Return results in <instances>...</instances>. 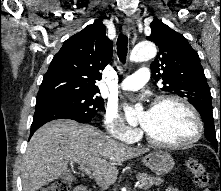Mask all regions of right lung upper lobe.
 <instances>
[{
  "mask_svg": "<svg viewBox=\"0 0 221 191\" xmlns=\"http://www.w3.org/2000/svg\"><path fill=\"white\" fill-rule=\"evenodd\" d=\"M113 43L106 36L101 19L67 39L53 57L40 86L37 101L100 93L96 82L112 58Z\"/></svg>",
  "mask_w": 221,
  "mask_h": 191,
  "instance_id": "1",
  "label": "right lung upper lobe"
}]
</instances>
